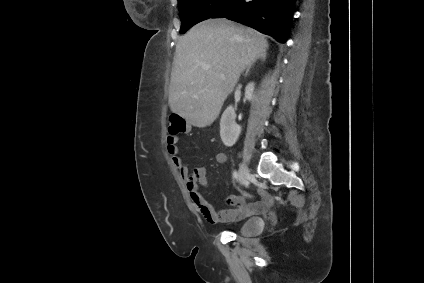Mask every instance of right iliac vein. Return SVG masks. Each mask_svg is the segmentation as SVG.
<instances>
[{
    "mask_svg": "<svg viewBox=\"0 0 424 283\" xmlns=\"http://www.w3.org/2000/svg\"><path fill=\"white\" fill-rule=\"evenodd\" d=\"M249 171L247 166L243 163L241 164L240 168H239V173H238V177H239V182L241 185H244L247 182V175H248Z\"/></svg>",
    "mask_w": 424,
    "mask_h": 283,
    "instance_id": "1",
    "label": "right iliac vein"
}]
</instances>
